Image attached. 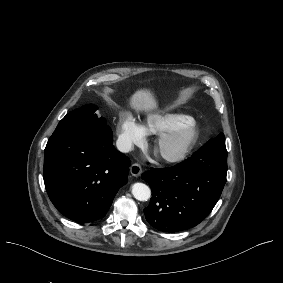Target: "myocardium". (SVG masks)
I'll list each match as a JSON object with an SVG mask.
<instances>
[{"label":"myocardium","mask_w":283,"mask_h":283,"mask_svg":"<svg viewBox=\"0 0 283 283\" xmlns=\"http://www.w3.org/2000/svg\"><path fill=\"white\" fill-rule=\"evenodd\" d=\"M180 137L182 138V145L179 152L173 156L164 158V165H177L183 162L192 152L198 137V127L193 119H183L173 128L161 131L156 141L157 143H165Z\"/></svg>","instance_id":"1"}]
</instances>
